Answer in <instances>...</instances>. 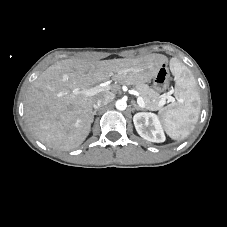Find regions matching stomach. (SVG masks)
Instances as JSON below:
<instances>
[{"label": "stomach", "mask_w": 227, "mask_h": 227, "mask_svg": "<svg viewBox=\"0 0 227 227\" xmlns=\"http://www.w3.org/2000/svg\"><path fill=\"white\" fill-rule=\"evenodd\" d=\"M167 66L168 60H163V62L160 63L159 71L153 78V87L157 92H164L169 87L170 74Z\"/></svg>", "instance_id": "stomach-1"}]
</instances>
